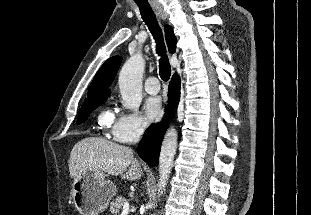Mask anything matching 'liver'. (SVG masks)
Here are the masks:
<instances>
[{
  "label": "liver",
  "instance_id": "6515ba94",
  "mask_svg": "<svg viewBox=\"0 0 311 215\" xmlns=\"http://www.w3.org/2000/svg\"><path fill=\"white\" fill-rule=\"evenodd\" d=\"M68 166L74 179L80 170L86 169L120 175L129 181L142 175L140 164L130 148L99 137H88L77 142L70 153Z\"/></svg>",
  "mask_w": 311,
  "mask_h": 215
}]
</instances>
